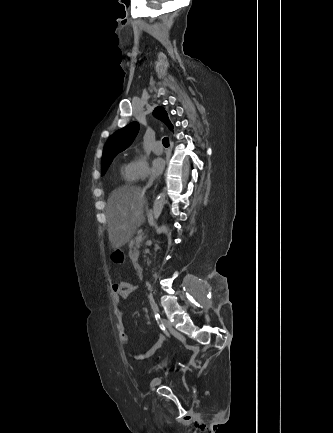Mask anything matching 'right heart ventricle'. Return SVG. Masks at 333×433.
<instances>
[{"label": "right heart ventricle", "mask_w": 333, "mask_h": 433, "mask_svg": "<svg viewBox=\"0 0 333 433\" xmlns=\"http://www.w3.org/2000/svg\"><path fill=\"white\" fill-rule=\"evenodd\" d=\"M120 174L121 178L125 183H132L134 181V178L131 174L129 164H122L120 165Z\"/></svg>", "instance_id": "e07e8e85"}]
</instances>
